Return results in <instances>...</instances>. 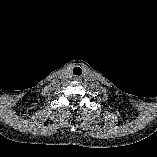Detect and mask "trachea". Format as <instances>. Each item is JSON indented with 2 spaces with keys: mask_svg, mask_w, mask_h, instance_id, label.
Instances as JSON below:
<instances>
[{
  "mask_svg": "<svg viewBox=\"0 0 157 157\" xmlns=\"http://www.w3.org/2000/svg\"><path fill=\"white\" fill-rule=\"evenodd\" d=\"M73 74H74L75 76H80V75L82 74L81 68L78 67V66L74 67V69H73Z\"/></svg>",
  "mask_w": 157,
  "mask_h": 157,
  "instance_id": "3493384b",
  "label": "trachea"
}]
</instances>
